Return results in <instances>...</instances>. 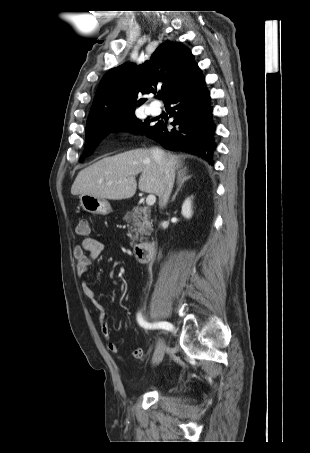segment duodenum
Wrapping results in <instances>:
<instances>
[{
  "mask_svg": "<svg viewBox=\"0 0 310 453\" xmlns=\"http://www.w3.org/2000/svg\"><path fill=\"white\" fill-rule=\"evenodd\" d=\"M154 244L150 241L141 242L134 248V255L138 262L145 263L152 259L154 255Z\"/></svg>",
  "mask_w": 310,
  "mask_h": 453,
  "instance_id": "duodenum-1",
  "label": "duodenum"
}]
</instances>
